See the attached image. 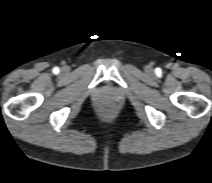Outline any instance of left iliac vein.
<instances>
[{"label": "left iliac vein", "mask_w": 212, "mask_h": 183, "mask_svg": "<svg viewBox=\"0 0 212 183\" xmlns=\"http://www.w3.org/2000/svg\"><path fill=\"white\" fill-rule=\"evenodd\" d=\"M147 72H148V73H152V68H148V69H147Z\"/></svg>", "instance_id": "4c4485c4"}]
</instances>
